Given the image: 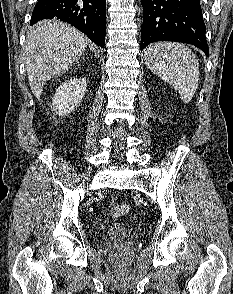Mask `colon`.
<instances>
[{
  "label": "colon",
  "instance_id": "1",
  "mask_svg": "<svg viewBox=\"0 0 233 294\" xmlns=\"http://www.w3.org/2000/svg\"><path fill=\"white\" fill-rule=\"evenodd\" d=\"M129 207L124 203H117L114 204L111 209L110 213L113 217H121L128 213Z\"/></svg>",
  "mask_w": 233,
  "mask_h": 294
}]
</instances>
